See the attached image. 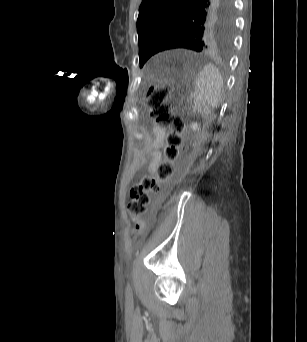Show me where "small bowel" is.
Masks as SVG:
<instances>
[{"mask_svg":"<svg viewBox=\"0 0 307 342\" xmlns=\"http://www.w3.org/2000/svg\"><path fill=\"white\" fill-rule=\"evenodd\" d=\"M154 138L151 142V149L149 151L150 163L148 165V172L153 173L157 163L162 160L160 147L162 146L165 138V131L157 126H153Z\"/></svg>","mask_w":307,"mask_h":342,"instance_id":"c3829d8e","label":"small bowel"}]
</instances>
